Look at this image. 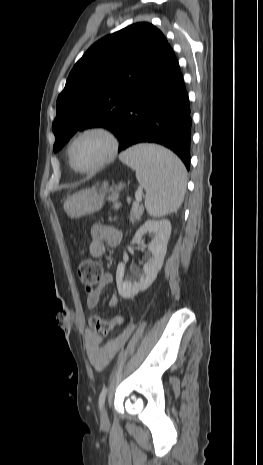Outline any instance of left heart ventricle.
<instances>
[{
    "label": "left heart ventricle",
    "mask_w": 263,
    "mask_h": 465,
    "mask_svg": "<svg viewBox=\"0 0 263 465\" xmlns=\"http://www.w3.org/2000/svg\"><path fill=\"white\" fill-rule=\"evenodd\" d=\"M109 147V142L103 135H85L72 148L73 162L80 169L92 168L107 155Z\"/></svg>",
    "instance_id": "b2bd125f"
}]
</instances>
